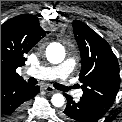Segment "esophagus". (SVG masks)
Returning a JSON list of instances; mask_svg holds the SVG:
<instances>
[{"label": "esophagus", "mask_w": 122, "mask_h": 122, "mask_svg": "<svg viewBox=\"0 0 122 122\" xmlns=\"http://www.w3.org/2000/svg\"><path fill=\"white\" fill-rule=\"evenodd\" d=\"M44 90H45L46 92L50 93V94H53V93H56V92H57V90H55V89H54L52 86H50V85L44 86Z\"/></svg>", "instance_id": "1"}]
</instances>
